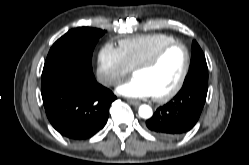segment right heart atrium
<instances>
[{
    "label": "right heart atrium",
    "mask_w": 249,
    "mask_h": 165,
    "mask_svg": "<svg viewBox=\"0 0 249 165\" xmlns=\"http://www.w3.org/2000/svg\"><path fill=\"white\" fill-rule=\"evenodd\" d=\"M131 69L119 48L105 44L98 53L97 77L106 86H115L125 78Z\"/></svg>",
    "instance_id": "1"
}]
</instances>
